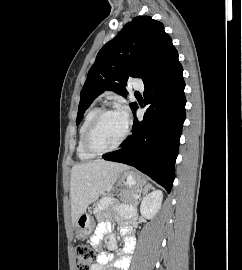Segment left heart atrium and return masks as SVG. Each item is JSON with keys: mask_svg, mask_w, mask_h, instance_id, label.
<instances>
[{"mask_svg": "<svg viewBox=\"0 0 242 270\" xmlns=\"http://www.w3.org/2000/svg\"><path fill=\"white\" fill-rule=\"evenodd\" d=\"M119 113L122 115L123 119L125 120L126 123L129 121V111L127 107L121 108Z\"/></svg>", "mask_w": 242, "mask_h": 270, "instance_id": "1", "label": "left heart atrium"}]
</instances>
